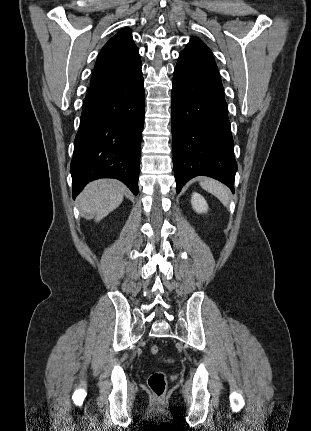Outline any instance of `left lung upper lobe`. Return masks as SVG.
I'll return each mask as SVG.
<instances>
[{
  "mask_svg": "<svg viewBox=\"0 0 311 431\" xmlns=\"http://www.w3.org/2000/svg\"><path fill=\"white\" fill-rule=\"evenodd\" d=\"M184 50H197L211 54V51L208 49V47L196 37L191 38L190 43Z\"/></svg>",
  "mask_w": 311,
  "mask_h": 431,
  "instance_id": "1",
  "label": "left lung upper lobe"
}]
</instances>
